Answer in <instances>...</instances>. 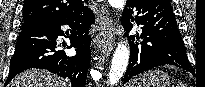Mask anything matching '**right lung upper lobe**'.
Masks as SVG:
<instances>
[{
  "instance_id": "1",
  "label": "right lung upper lobe",
  "mask_w": 205,
  "mask_h": 87,
  "mask_svg": "<svg viewBox=\"0 0 205 87\" xmlns=\"http://www.w3.org/2000/svg\"><path fill=\"white\" fill-rule=\"evenodd\" d=\"M84 8L81 0H24V28L59 21Z\"/></svg>"
}]
</instances>
